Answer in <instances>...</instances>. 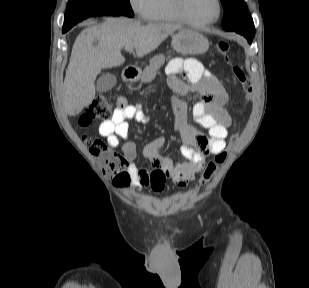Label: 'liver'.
Returning a JSON list of instances; mask_svg holds the SVG:
<instances>
[{"label":"liver","mask_w":309,"mask_h":288,"mask_svg":"<svg viewBox=\"0 0 309 288\" xmlns=\"http://www.w3.org/2000/svg\"><path fill=\"white\" fill-rule=\"evenodd\" d=\"M179 29L168 23L142 24L128 18H108L84 29L76 38L62 89L67 114H79L95 98V79L102 69L125 62L121 50L132 46L138 57L154 51Z\"/></svg>","instance_id":"6515ba94"}]
</instances>
